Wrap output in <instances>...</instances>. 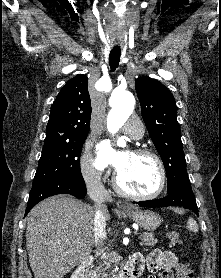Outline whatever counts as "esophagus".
Here are the masks:
<instances>
[{
  "instance_id": "1",
  "label": "esophagus",
  "mask_w": 221,
  "mask_h": 278,
  "mask_svg": "<svg viewBox=\"0 0 221 278\" xmlns=\"http://www.w3.org/2000/svg\"><path fill=\"white\" fill-rule=\"evenodd\" d=\"M117 207H118L119 209H121V210L130 209V206H129L126 202L121 201V200H119V201L117 202Z\"/></svg>"
}]
</instances>
